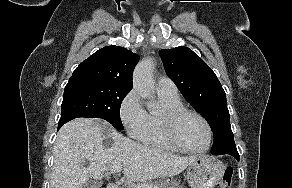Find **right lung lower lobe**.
Here are the masks:
<instances>
[{"mask_svg": "<svg viewBox=\"0 0 292 188\" xmlns=\"http://www.w3.org/2000/svg\"><path fill=\"white\" fill-rule=\"evenodd\" d=\"M72 119H74L73 117H68V118H65V119H63V120H59V123H58V129L63 125V124H65L66 122H68V121H70V120H72Z\"/></svg>", "mask_w": 292, "mask_h": 188, "instance_id": "right-lung-lower-lobe-1", "label": "right lung lower lobe"}]
</instances>
